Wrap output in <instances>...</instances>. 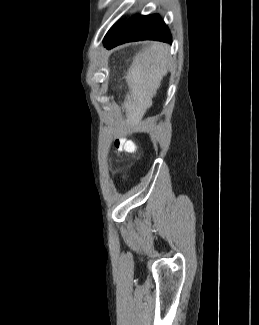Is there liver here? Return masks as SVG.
Masks as SVG:
<instances>
[{
    "label": "liver",
    "mask_w": 259,
    "mask_h": 325,
    "mask_svg": "<svg viewBox=\"0 0 259 325\" xmlns=\"http://www.w3.org/2000/svg\"><path fill=\"white\" fill-rule=\"evenodd\" d=\"M168 46L152 43L137 53L126 74L129 87L123 106L127 122L137 125L152 106V99L167 74Z\"/></svg>",
    "instance_id": "liver-1"
}]
</instances>
